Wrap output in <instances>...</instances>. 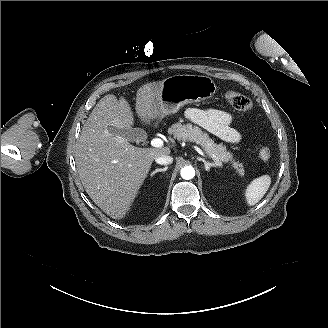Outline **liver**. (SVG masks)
Listing matches in <instances>:
<instances>
[{
	"mask_svg": "<svg viewBox=\"0 0 328 328\" xmlns=\"http://www.w3.org/2000/svg\"><path fill=\"white\" fill-rule=\"evenodd\" d=\"M162 81L139 87L135 113L124 96H104L84 124L75 155L81 182L92 201L110 218L124 220L151 170L153 161L171 148H139L108 127L134 128L135 114L143 127L153 126Z\"/></svg>",
	"mask_w": 328,
	"mask_h": 328,
	"instance_id": "6515ba94",
	"label": "liver"
}]
</instances>
